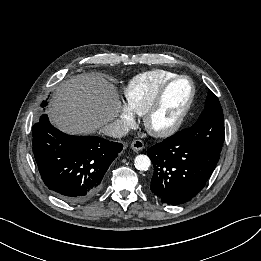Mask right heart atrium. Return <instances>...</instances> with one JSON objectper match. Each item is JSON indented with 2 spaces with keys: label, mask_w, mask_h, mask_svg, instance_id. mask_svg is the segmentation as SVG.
<instances>
[{
  "label": "right heart atrium",
  "mask_w": 261,
  "mask_h": 261,
  "mask_svg": "<svg viewBox=\"0 0 261 261\" xmlns=\"http://www.w3.org/2000/svg\"><path fill=\"white\" fill-rule=\"evenodd\" d=\"M136 121L135 113L127 104H122L120 115L118 117V125L122 131L128 130Z\"/></svg>",
  "instance_id": "d8ad5b80"
}]
</instances>
